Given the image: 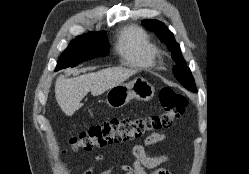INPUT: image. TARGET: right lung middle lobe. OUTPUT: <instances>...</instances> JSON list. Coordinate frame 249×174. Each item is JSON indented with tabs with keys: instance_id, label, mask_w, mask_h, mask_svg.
<instances>
[{
	"instance_id": "1",
	"label": "right lung middle lobe",
	"mask_w": 249,
	"mask_h": 174,
	"mask_svg": "<svg viewBox=\"0 0 249 174\" xmlns=\"http://www.w3.org/2000/svg\"><path fill=\"white\" fill-rule=\"evenodd\" d=\"M108 53L109 47L106 32H91L80 35L75 40H72L67 49L61 54L55 71L74 67L90 59L106 56Z\"/></svg>"
}]
</instances>
